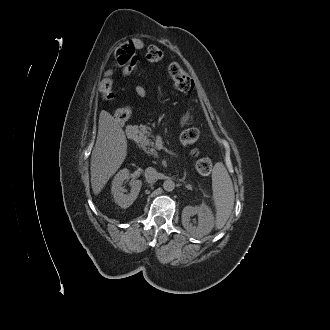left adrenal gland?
I'll return each instance as SVG.
<instances>
[{
    "mask_svg": "<svg viewBox=\"0 0 330 330\" xmlns=\"http://www.w3.org/2000/svg\"><path fill=\"white\" fill-rule=\"evenodd\" d=\"M185 187L188 188V189H192V188L190 187V185H186Z\"/></svg>",
    "mask_w": 330,
    "mask_h": 330,
    "instance_id": "1",
    "label": "left adrenal gland"
}]
</instances>
